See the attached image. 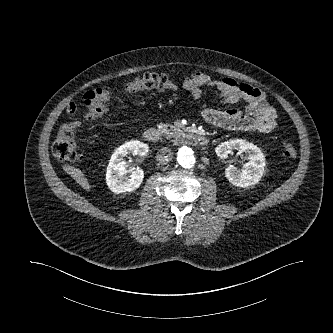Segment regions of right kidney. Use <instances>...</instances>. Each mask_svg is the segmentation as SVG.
Instances as JSON below:
<instances>
[{
	"label": "right kidney",
	"instance_id": "obj_1",
	"mask_svg": "<svg viewBox=\"0 0 333 333\" xmlns=\"http://www.w3.org/2000/svg\"><path fill=\"white\" fill-rule=\"evenodd\" d=\"M148 149V145L140 141H130L117 148L111 156L106 172V183L112 192L131 193L140 187L144 172L140 168L128 170L125 157L128 154L145 156ZM127 173L130 174L127 176Z\"/></svg>",
	"mask_w": 333,
	"mask_h": 333
}]
</instances>
